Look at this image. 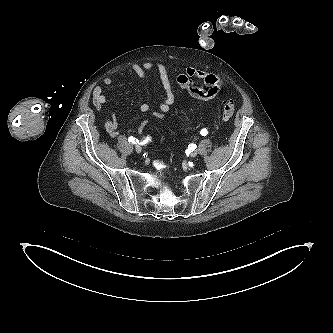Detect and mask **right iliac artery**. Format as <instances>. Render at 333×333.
<instances>
[{"label":"right iliac artery","instance_id":"right-iliac-artery-1","mask_svg":"<svg viewBox=\"0 0 333 333\" xmlns=\"http://www.w3.org/2000/svg\"><path fill=\"white\" fill-rule=\"evenodd\" d=\"M149 138H147V140H148ZM128 141L130 142V143H133V144H139V140H137L136 138H134L133 136H131V137H129L128 138ZM146 142V141H145Z\"/></svg>","mask_w":333,"mask_h":333}]
</instances>
